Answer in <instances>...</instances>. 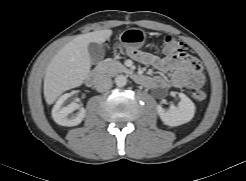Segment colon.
I'll use <instances>...</instances> for the list:
<instances>
[{"instance_id":"1","label":"colon","mask_w":246,"mask_h":181,"mask_svg":"<svg viewBox=\"0 0 246 181\" xmlns=\"http://www.w3.org/2000/svg\"><path fill=\"white\" fill-rule=\"evenodd\" d=\"M186 49L185 43L177 40L172 35H167L162 38V40L155 46L154 51L156 53H163L167 55H173L177 53H181ZM191 69L194 73V77L197 81H201L203 79L201 73V64L198 61H194L191 64ZM192 97L197 101H202L206 98V93L197 88L193 87L191 89Z\"/></svg>"}]
</instances>
